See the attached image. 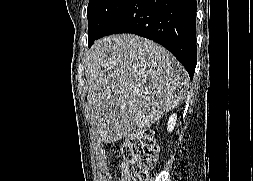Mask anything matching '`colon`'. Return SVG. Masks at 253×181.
<instances>
[{
	"label": "colon",
	"mask_w": 253,
	"mask_h": 181,
	"mask_svg": "<svg viewBox=\"0 0 253 181\" xmlns=\"http://www.w3.org/2000/svg\"><path fill=\"white\" fill-rule=\"evenodd\" d=\"M158 155V147L149 131H141L128 138L124 146L123 179L146 181L148 171Z\"/></svg>",
	"instance_id": "5ec220e1"
}]
</instances>
